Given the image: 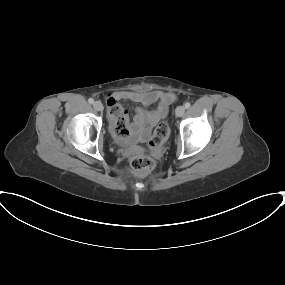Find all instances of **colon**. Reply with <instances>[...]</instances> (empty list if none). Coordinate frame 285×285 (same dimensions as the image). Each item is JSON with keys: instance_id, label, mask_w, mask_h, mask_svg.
<instances>
[{"instance_id": "5ec220e1", "label": "colon", "mask_w": 285, "mask_h": 285, "mask_svg": "<svg viewBox=\"0 0 285 285\" xmlns=\"http://www.w3.org/2000/svg\"><path fill=\"white\" fill-rule=\"evenodd\" d=\"M107 108L110 114L115 115L118 119L112 125L114 135L119 140H124L129 133L126 122L120 117L119 104L115 100H109L107 102ZM169 135V128L165 122L160 123L154 130L153 136L149 142L151 149H158L162 146ZM129 164L131 169L139 174H148L154 167V160L146 155L135 154L130 160Z\"/></svg>"}]
</instances>
